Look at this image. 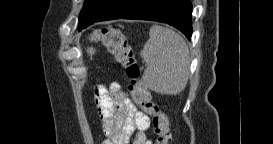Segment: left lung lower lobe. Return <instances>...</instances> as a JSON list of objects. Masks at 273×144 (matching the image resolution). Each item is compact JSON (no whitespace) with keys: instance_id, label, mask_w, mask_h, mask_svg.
<instances>
[{"instance_id":"0a47b994","label":"left lung lower lobe","mask_w":273,"mask_h":144,"mask_svg":"<svg viewBox=\"0 0 273 144\" xmlns=\"http://www.w3.org/2000/svg\"><path fill=\"white\" fill-rule=\"evenodd\" d=\"M83 8L79 31L94 22L111 19H143L167 23L180 30L189 40L192 35L190 0H93Z\"/></svg>"}]
</instances>
